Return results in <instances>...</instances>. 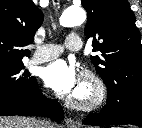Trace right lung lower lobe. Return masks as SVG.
I'll return each instance as SVG.
<instances>
[{
    "label": "right lung lower lobe",
    "instance_id": "right-lung-lower-lobe-1",
    "mask_svg": "<svg viewBox=\"0 0 142 128\" xmlns=\"http://www.w3.org/2000/svg\"><path fill=\"white\" fill-rule=\"evenodd\" d=\"M8 115L46 116L56 122L64 118L60 104L54 99L43 96L37 83L30 92L25 94L0 96V116Z\"/></svg>",
    "mask_w": 142,
    "mask_h": 128
}]
</instances>
